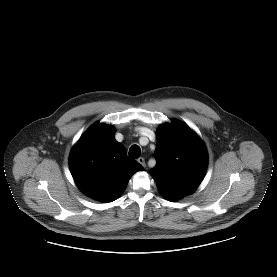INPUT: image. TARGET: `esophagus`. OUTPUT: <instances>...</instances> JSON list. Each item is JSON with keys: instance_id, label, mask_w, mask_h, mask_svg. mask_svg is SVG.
<instances>
[{"instance_id": "34e87169", "label": "esophagus", "mask_w": 277, "mask_h": 277, "mask_svg": "<svg viewBox=\"0 0 277 277\" xmlns=\"http://www.w3.org/2000/svg\"><path fill=\"white\" fill-rule=\"evenodd\" d=\"M137 161H138L142 166L145 167V160H144V158L140 157V158L137 159Z\"/></svg>"}]
</instances>
